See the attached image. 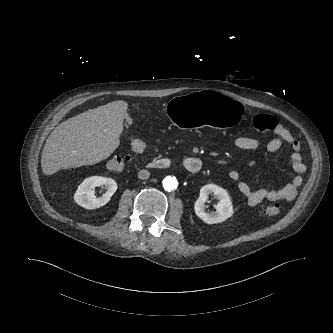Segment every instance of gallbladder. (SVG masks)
Masks as SVG:
<instances>
[{"label": "gallbladder", "instance_id": "1", "mask_svg": "<svg viewBox=\"0 0 333 333\" xmlns=\"http://www.w3.org/2000/svg\"><path fill=\"white\" fill-rule=\"evenodd\" d=\"M131 123H132V119L129 118V117H126V120H125V127H126L127 130L129 129Z\"/></svg>", "mask_w": 333, "mask_h": 333}]
</instances>
